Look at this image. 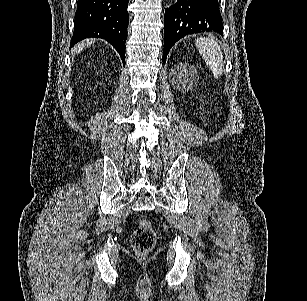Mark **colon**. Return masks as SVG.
<instances>
[{
    "instance_id": "colon-1",
    "label": "colon",
    "mask_w": 307,
    "mask_h": 301,
    "mask_svg": "<svg viewBox=\"0 0 307 301\" xmlns=\"http://www.w3.org/2000/svg\"><path fill=\"white\" fill-rule=\"evenodd\" d=\"M157 241V234L148 219H142L131 236V245L139 257H145L152 251Z\"/></svg>"
}]
</instances>
